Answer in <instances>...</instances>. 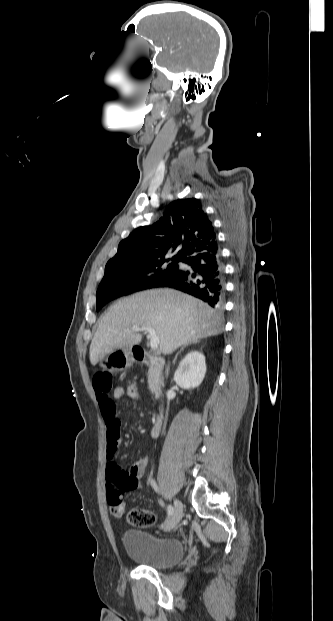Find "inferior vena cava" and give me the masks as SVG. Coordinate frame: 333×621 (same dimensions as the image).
Segmentation results:
<instances>
[{"mask_svg": "<svg viewBox=\"0 0 333 621\" xmlns=\"http://www.w3.org/2000/svg\"><path fill=\"white\" fill-rule=\"evenodd\" d=\"M168 373H169V368H167V370H166V375H168Z\"/></svg>", "mask_w": 333, "mask_h": 621, "instance_id": "inferior-vena-cava-1", "label": "inferior vena cava"}]
</instances>
